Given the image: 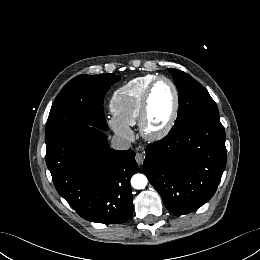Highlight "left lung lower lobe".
<instances>
[{
	"label": "left lung lower lobe",
	"mask_w": 260,
	"mask_h": 260,
	"mask_svg": "<svg viewBox=\"0 0 260 260\" xmlns=\"http://www.w3.org/2000/svg\"><path fill=\"white\" fill-rule=\"evenodd\" d=\"M226 165L219 113L197 115L149 144L144 174L175 215L190 213L215 193Z\"/></svg>",
	"instance_id": "obj_1"
}]
</instances>
